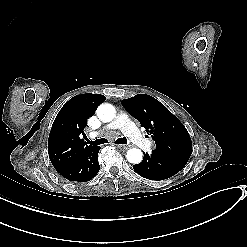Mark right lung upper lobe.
Returning a JSON list of instances; mask_svg holds the SVG:
<instances>
[{"label": "right lung upper lobe", "instance_id": "1", "mask_svg": "<svg viewBox=\"0 0 247 247\" xmlns=\"http://www.w3.org/2000/svg\"><path fill=\"white\" fill-rule=\"evenodd\" d=\"M106 100L101 94L86 93L71 98L57 114L48 139V154L56 171L71 164L88 149L81 134L98 105Z\"/></svg>", "mask_w": 247, "mask_h": 247}]
</instances>
